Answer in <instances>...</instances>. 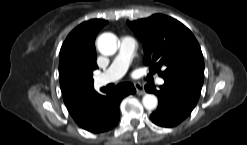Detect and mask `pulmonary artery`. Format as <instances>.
Instances as JSON below:
<instances>
[{
  "instance_id": "e3ab8cb5",
  "label": "pulmonary artery",
  "mask_w": 247,
  "mask_h": 145,
  "mask_svg": "<svg viewBox=\"0 0 247 145\" xmlns=\"http://www.w3.org/2000/svg\"><path fill=\"white\" fill-rule=\"evenodd\" d=\"M136 49L137 43L134 38L130 36L122 37L120 41V49L116 58L106 71L96 77V85L103 86L120 79L126 73ZM157 82L160 85L164 84L162 78H158Z\"/></svg>"
}]
</instances>
